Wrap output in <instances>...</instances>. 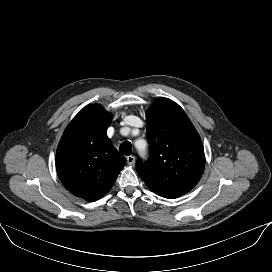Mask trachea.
Masks as SVG:
<instances>
[{"label":"trachea","mask_w":272,"mask_h":272,"mask_svg":"<svg viewBox=\"0 0 272 272\" xmlns=\"http://www.w3.org/2000/svg\"><path fill=\"white\" fill-rule=\"evenodd\" d=\"M132 150V145L129 141L123 142L119 147V152L123 155H130Z\"/></svg>","instance_id":"3493384b"}]
</instances>
